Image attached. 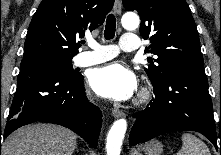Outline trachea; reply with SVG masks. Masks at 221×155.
<instances>
[{
  "instance_id": "trachea-1",
  "label": "trachea",
  "mask_w": 221,
  "mask_h": 155,
  "mask_svg": "<svg viewBox=\"0 0 221 155\" xmlns=\"http://www.w3.org/2000/svg\"><path fill=\"white\" fill-rule=\"evenodd\" d=\"M116 19L113 14L108 15L105 25L104 37L106 40L112 39L115 36ZM84 43V42H83Z\"/></svg>"
}]
</instances>
